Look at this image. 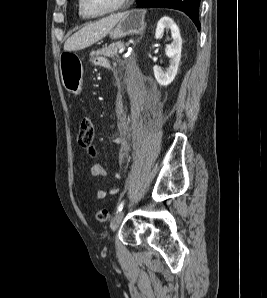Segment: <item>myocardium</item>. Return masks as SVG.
Listing matches in <instances>:
<instances>
[{"mask_svg": "<svg viewBox=\"0 0 267 298\" xmlns=\"http://www.w3.org/2000/svg\"><path fill=\"white\" fill-rule=\"evenodd\" d=\"M131 1L132 0H121L120 3L115 8H113L112 10L104 12V13H99V14L89 13L84 7V0H79V8H80L81 12L86 17L101 18V17H105V16H108V15H112V14L122 12L131 3Z\"/></svg>", "mask_w": 267, "mask_h": 298, "instance_id": "1", "label": "myocardium"}]
</instances>
